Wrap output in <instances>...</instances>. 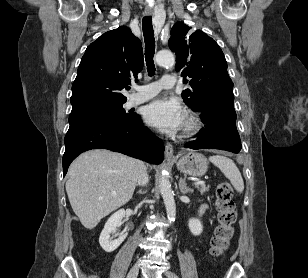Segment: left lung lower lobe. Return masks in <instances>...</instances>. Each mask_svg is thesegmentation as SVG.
<instances>
[{
    "label": "left lung lower lobe",
    "instance_id": "1",
    "mask_svg": "<svg viewBox=\"0 0 308 278\" xmlns=\"http://www.w3.org/2000/svg\"><path fill=\"white\" fill-rule=\"evenodd\" d=\"M233 100L224 98L204 106L200 112L206 127L198 133L197 140L186 143L192 149L215 148L238 153L241 140L236 128Z\"/></svg>",
    "mask_w": 308,
    "mask_h": 278
}]
</instances>
